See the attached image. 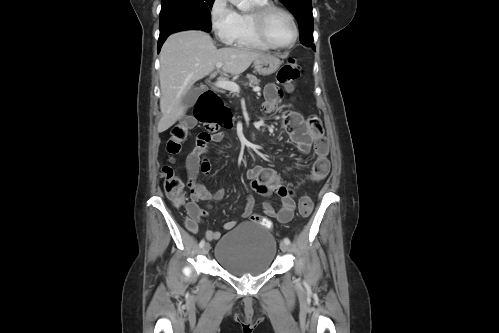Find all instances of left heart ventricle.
Segmentation results:
<instances>
[{"instance_id":"obj_1","label":"left heart ventricle","mask_w":499,"mask_h":333,"mask_svg":"<svg viewBox=\"0 0 499 333\" xmlns=\"http://www.w3.org/2000/svg\"><path fill=\"white\" fill-rule=\"evenodd\" d=\"M266 31L271 41L278 45L288 44L293 38V27L289 18L280 11L267 18Z\"/></svg>"}]
</instances>
